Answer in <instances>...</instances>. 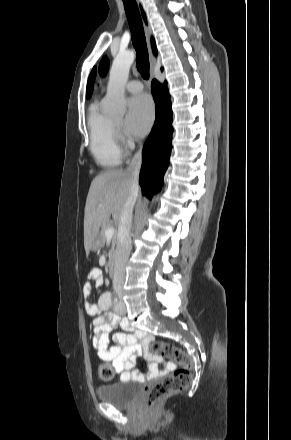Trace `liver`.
Listing matches in <instances>:
<instances>
[{
    "instance_id": "1",
    "label": "liver",
    "mask_w": 291,
    "mask_h": 440,
    "mask_svg": "<svg viewBox=\"0 0 291 440\" xmlns=\"http://www.w3.org/2000/svg\"><path fill=\"white\" fill-rule=\"evenodd\" d=\"M131 177L124 170H108L91 182L84 215V247L87 253L98 239L103 222L112 215L119 222L131 190Z\"/></svg>"
}]
</instances>
